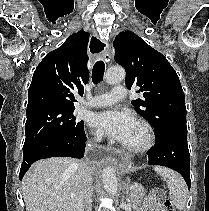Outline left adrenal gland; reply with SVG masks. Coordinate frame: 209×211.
Listing matches in <instances>:
<instances>
[{"mask_svg": "<svg viewBox=\"0 0 209 211\" xmlns=\"http://www.w3.org/2000/svg\"><path fill=\"white\" fill-rule=\"evenodd\" d=\"M125 189H126V194H127V196H128V192H129L128 186H126Z\"/></svg>", "mask_w": 209, "mask_h": 211, "instance_id": "1", "label": "left adrenal gland"}]
</instances>
